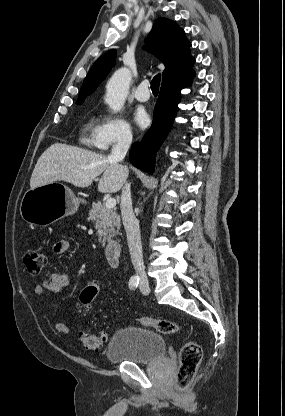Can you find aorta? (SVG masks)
<instances>
[{"label": "aorta", "instance_id": "aorta-1", "mask_svg": "<svg viewBox=\"0 0 285 416\" xmlns=\"http://www.w3.org/2000/svg\"><path fill=\"white\" fill-rule=\"evenodd\" d=\"M131 72L127 68L118 69L106 86V103L114 111H120L129 93Z\"/></svg>", "mask_w": 285, "mask_h": 416}]
</instances>
